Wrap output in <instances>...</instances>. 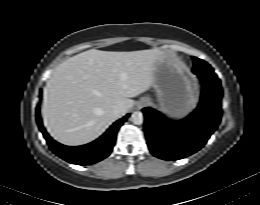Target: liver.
<instances>
[{"mask_svg":"<svg viewBox=\"0 0 260 205\" xmlns=\"http://www.w3.org/2000/svg\"><path fill=\"white\" fill-rule=\"evenodd\" d=\"M164 52L158 48L131 52L90 49L55 69L44 89L42 115L51 135L70 146L98 138L117 118L115 105L126 112L131 99L153 85L155 65Z\"/></svg>","mask_w":260,"mask_h":205,"instance_id":"1","label":"liver"}]
</instances>
